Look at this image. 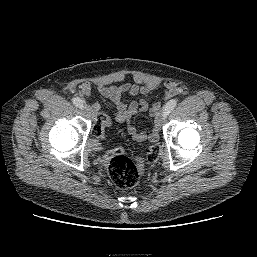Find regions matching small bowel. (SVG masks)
Instances as JSON below:
<instances>
[{
  "mask_svg": "<svg viewBox=\"0 0 257 257\" xmlns=\"http://www.w3.org/2000/svg\"><path fill=\"white\" fill-rule=\"evenodd\" d=\"M159 86L156 81L149 82L145 85H138L133 83H124L121 85L105 86L99 84L93 87L92 84L85 82L79 87V95L87 103L91 109L93 115L96 117L97 123L104 124L110 118L106 115H99L98 111L100 109V104L93 100L92 93L95 89L105 101V104L112 112V117L116 122L124 123L126 125L127 131L132 136V138L137 142H142L145 140L156 141L158 138V127L156 124L149 133L138 130L133 122V117L137 114L144 113L146 111L150 112L152 117H155L159 110L160 105L155 103L150 108L148 103L144 99H139L126 104L123 102L122 98L124 95H144L148 94ZM178 92L177 86L172 83H166L165 96L167 98L176 95Z\"/></svg>",
  "mask_w": 257,
  "mask_h": 257,
  "instance_id": "obj_1",
  "label": "small bowel"
}]
</instances>
